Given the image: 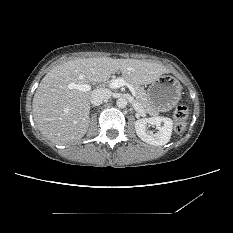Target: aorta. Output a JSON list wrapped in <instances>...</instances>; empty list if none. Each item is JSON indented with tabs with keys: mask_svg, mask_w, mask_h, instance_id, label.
Listing matches in <instances>:
<instances>
[{
	"mask_svg": "<svg viewBox=\"0 0 233 233\" xmlns=\"http://www.w3.org/2000/svg\"><path fill=\"white\" fill-rule=\"evenodd\" d=\"M127 104H128V101L125 98H119L116 101V105L118 108H125Z\"/></svg>",
	"mask_w": 233,
	"mask_h": 233,
	"instance_id": "obj_1",
	"label": "aorta"
}]
</instances>
